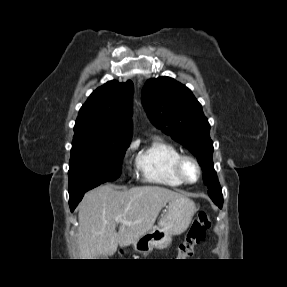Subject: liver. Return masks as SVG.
Segmentation results:
<instances>
[{"mask_svg": "<svg viewBox=\"0 0 287 287\" xmlns=\"http://www.w3.org/2000/svg\"><path fill=\"white\" fill-rule=\"evenodd\" d=\"M180 197L183 195L159 186L119 191L112 185H103L89 191L79 205L80 259L112 256L118 245L133 244L152 229L163 206ZM118 216L128 223L116 222Z\"/></svg>", "mask_w": 287, "mask_h": 287, "instance_id": "liver-1", "label": "liver"}]
</instances>
